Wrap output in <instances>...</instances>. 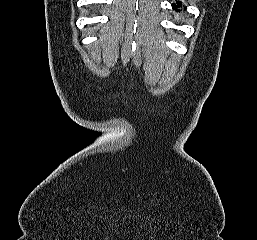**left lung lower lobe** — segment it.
<instances>
[{"instance_id": "1", "label": "left lung lower lobe", "mask_w": 257, "mask_h": 240, "mask_svg": "<svg viewBox=\"0 0 257 240\" xmlns=\"http://www.w3.org/2000/svg\"><path fill=\"white\" fill-rule=\"evenodd\" d=\"M181 2L180 1H176V3H173L172 4V8H173V10H175L176 12H178L179 11V8L181 7Z\"/></svg>"}]
</instances>
